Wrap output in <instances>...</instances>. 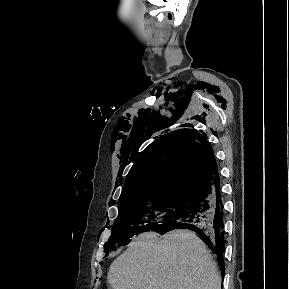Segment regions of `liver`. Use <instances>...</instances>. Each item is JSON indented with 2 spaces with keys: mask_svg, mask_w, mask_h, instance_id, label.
Here are the masks:
<instances>
[{
  "mask_svg": "<svg viewBox=\"0 0 289 289\" xmlns=\"http://www.w3.org/2000/svg\"><path fill=\"white\" fill-rule=\"evenodd\" d=\"M107 282L113 289H221L216 263L189 230L161 240L154 232L140 234L112 262Z\"/></svg>",
  "mask_w": 289,
  "mask_h": 289,
  "instance_id": "1",
  "label": "liver"
}]
</instances>
